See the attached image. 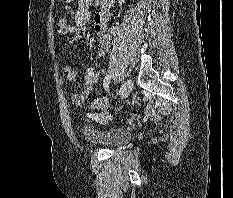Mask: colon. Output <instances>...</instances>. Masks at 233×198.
Segmentation results:
<instances>
[{
    "label": "colon",
    "mask_w": 233,
    "mask_h": 198,
    "mask_svg": "<svg viewBox=\"0 0 233 198\" xmlns=\"http://www.w3.org/2000/svg\"><path fill=\"white\" fill-rule=\"evenodd\" d=\"M54 24H55V29H56L57 34H62L66 26L65 18L61 14H56L54 17ZM110 105H111L110 99L106 96H103V97L94 99L91 102L90 107L94 111L103 112L109 109Z\"/></svg>",
    "instance_id": "5ec220e1"
}]
</instances>
